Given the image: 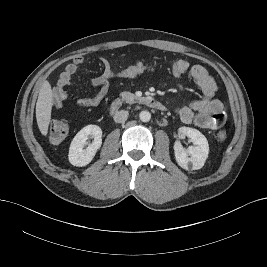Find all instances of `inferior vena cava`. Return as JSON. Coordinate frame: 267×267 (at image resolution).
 <instances>
[{
    "mask_svg": "<svg viewBox=\"0 0 267 267\" xmlns=\"http://www.w3.org/2000/svg\"><path fill=\"white\" fill-rule=\"evenodd\" d=\"M128 111H125V110H120V111H117L114 115V121L117 122V123H123L127 120L128 118Z\"/></svg>",
    "mask_w": 267,
    "mask_h": 267,
    "instance_id": "inferior-vena-cava-1",
    "label": "inferior vena cava"
}]
</instances>
